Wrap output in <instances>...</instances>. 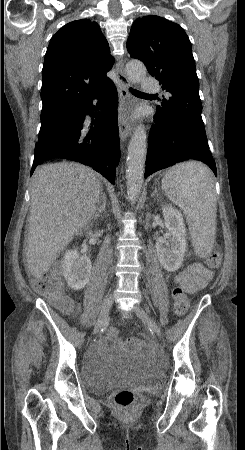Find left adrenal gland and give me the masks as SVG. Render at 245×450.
<instances>
[{
  "label": "left adrenal gland",
  "mask_w": 245,
  "mask_h": 450,
  "mask_svg": "<svg viewBox=\"0 0 245 450\" xmlns=\"http://www.w3.org/2000/svg\"><path fill=\"white\" fill-rule=\"evenodd\" d=\"M157 188L155 187V189H154V191H153V193L151 194V197H154L156 194H157Z\"/></svg>",
  "instance_id": "a2214340"
}]
</instances>
